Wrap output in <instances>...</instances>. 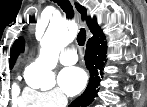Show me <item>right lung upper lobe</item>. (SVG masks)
Instances as JSON below:
<instances>
[{
  "mask_svg": "<svg viewBox=\"0 0 147 107\" xmlns=\"http://www.w3.org/2000/svg\"><path fill=\"white\" fill-rule=\"evenodd\" d=\"M75 6H76L77 10L81 13L82 18L87 19L88 27H89L91 33L93 34V37H91L88 40V42L96 40L98 38H102L104 36V34H103L100 26L97 24L96 18H92V19L87 18L86 9L78 3H76ZM23 49H24V41L22 38H18L14 42V44L12 46V50L10 52V66H14V63H15L17 57L19 56L20 51H22Z\"/></svg>",
  "mask_w": 147,
  "mask_h": 107,
  "instance_id": "1",
  "label": "right lung upper lobe"
}]
</instances>
